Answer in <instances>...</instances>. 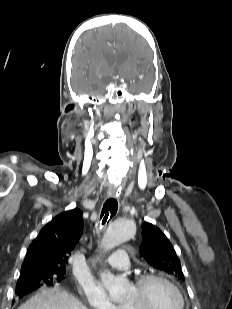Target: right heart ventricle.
<instances>
[{
    "mask_svg": "<svg viewBox=\"0 0 232 309\" xmlns=\"http://www.w3.org/2000/svg\"><path fill=\"white\" fill-rule=\"evenodd\" d=\"M119 309H125L123 305H119Z\"/></svg>",
    "mask_w": 232,
    "mask_h": 309,
    "instance_id": "1",
    "label": "right heart ventricle"
}]
</instances>
